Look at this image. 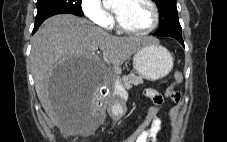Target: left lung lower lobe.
Masks as SVG:
<instances>
[{
    "label": "left lung lower lobe",
    "mask_w": 227,
    "mask_h": 142,
    "mask_svg": "<svg viewBox=\"0 0 227 142\" xmlns=\"http://www.w3.org/2000/svg\"><path fill=\"white\" fill-rule=\"evenodd\" d=\"M156 35L173 37V38L177 39L184 46V42H183V39H182V34H175V33H171V32H163V33L156 32Z\"/></svg>",
    "instance_id": "left-lung-lower-lobe-1"
}]
</instances>
